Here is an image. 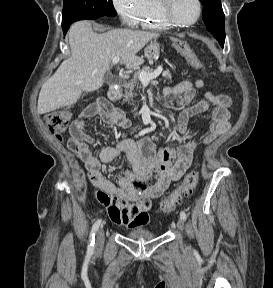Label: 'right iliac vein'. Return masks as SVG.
<instances>
[{
  "label": "right iliac vein",
  "instance_id": "63e3f726",
  "mask_svg": "<svg viewBox=\"0 0 273 288\" xmlns=\"http://www.w3.org/2000/svg\"><path fill=\"white\" fill-rule=\"evenodd\" d=\"M105 240L104 229L100 228L97 232L96 249H101Z\"/></svg>",
  "mask_w": 273,
  "mask_h": 288
}]
</instances>
